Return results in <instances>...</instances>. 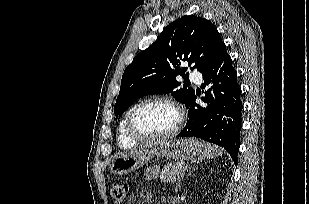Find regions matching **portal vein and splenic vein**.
<instances>
[{
  "label": "portal vein and splenic vein",
  "mask_w": 309,
  "mask_h": 204,
  "mask_svg": "<svg viewBox=\"0 0 309 204\" xmlns=\"http://www.w3.org/2000/svg\"><path fill=\"white\" fill-rule=\"evenodd\" d=\"M189 167H190L189 165L186 166V168H189Z\"/></svg>",
  "instance_id": "portal-vein-and-splenic-vein-1"
}]
</instances>
